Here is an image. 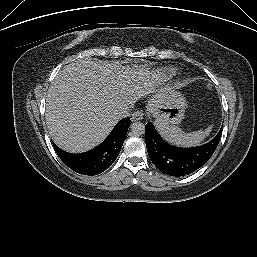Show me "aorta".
Listing matches in <instances>:
<instances>
[{
  "instance_id": "obj_1",
  "label": "aorta",
  "mask_w": 257,
  "mask_h": 257,
  "mask_svg": "<svg viewBox=\"0 0 257 257\" xmlns=\"http://www.w3.org/2000/svg\"><path fill=\"white\" fill-rule=\"evenodd\" d=\"M131 131L134 135H142L145 132V125L142 122H134L131 124Z\"/></svg>"
}]
</instances>
